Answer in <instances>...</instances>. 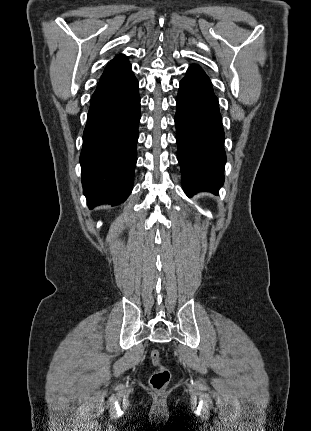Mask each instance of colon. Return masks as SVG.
<instances>
[{"instance_id": "colon-1", "label": "colon", "mask_w": 311, "mask_h": 431, "mask_svg": "<svg viewBox=\"0 0 311 431\" xmlns=\"http://www.w3.org/2000/svg\"><path fill=\"white\" fill-rule=\"evenodd\" d=\"M150 357L153 365L157 367V370L150 377V386L156 391H163L170 381L171 373L168 368L162 365L160 353L157 349L151 351Z\"/></svg>"}]
</instances>
